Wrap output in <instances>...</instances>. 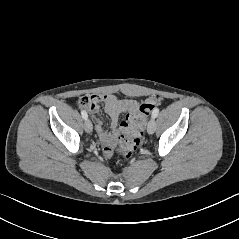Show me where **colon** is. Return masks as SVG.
Wrapping results in <instances>:
<instances>
[{
    "mask_svg": "<svg viewBox=\"0 0 239 239\" xmlns=\"http://www.w3.org/2000/svg\"><path fill=\"white\" fill-rule=\"evenodd\" d=\"M79 105L88 109L91 105L89 97H82L79 100ZM153 106V103L150 102L140 105L137 112L130 115L127 120L121 124L122 133L114 149L118 155L128 159L138 148L143 136L146 117Z\"/></svg>",
    "mask_w": 239,
    "mask_h": 239,
    "instance_id": "obj_1",
    "label": "colon"
}]
</instances>
